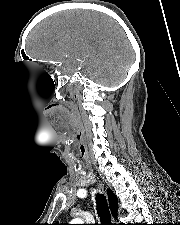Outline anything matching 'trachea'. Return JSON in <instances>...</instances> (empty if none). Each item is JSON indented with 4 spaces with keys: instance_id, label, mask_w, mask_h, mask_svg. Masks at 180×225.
Wrapping results in <instances>:
<instances>
[{
    "instance_id": "trachea-1",
    "label": "trachea",
    "mask_w": 180,
    "mask_h": 225,
    "mask_svg": "<svg viewBox=\"0 0 180 225\" xmlns=\"http://www.w3.org/2000/svg\"><path fill=\"white\" fill-rule=\"evenodd\" d=\"M96 205H97L96 207L97 213H98V216L100 217L102 225H111L110 224L111 215H110L106 197L102 194H97Z\"/></svg>"
}]
</instances>
